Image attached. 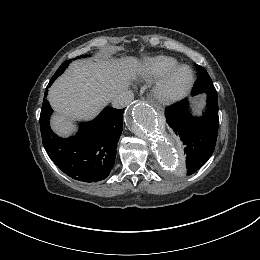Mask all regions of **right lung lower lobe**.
<instances>
[{
	"instance_id": "1",
	"label": "right lung lower lobe",
	"mask_w": 260,
	"mask_h": 260,
	"mask_svg": "<svg viewBox=\"0 0 260 260\" xmlns=\"http://www.w3.org/2000/svg\"><path fill=\"white\" fill-rule=\"evenodd\" d=\"M55 79L52 77L47 87ZM52 112L45 99L41 108L40 129L44 148L52 161L75 180L97 182L105 179L115 163L124 110L104 108L94 120L81 123L80 131L68 139L58 137L50 129Z\"/></svg>"
}]
</instances>
